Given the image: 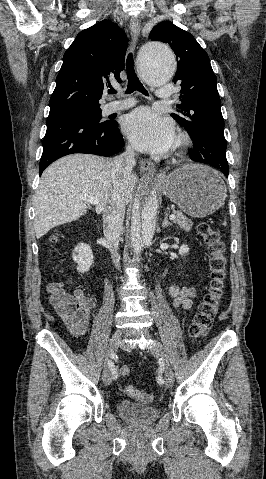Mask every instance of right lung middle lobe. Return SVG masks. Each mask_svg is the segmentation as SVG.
<instances>
[{"instance_id":"1","label":"right lung middle lobe","mask_w":266,"mask_h":479,"mask_svg":"<svg viewBox=\"0 0 266 479\" xmlns=\"http://www.w3.org/2000/svg\"><path fill=\"white\" fill-rule=\"evenodd\" d=\"M62 114H71L79 117H83L86 119H89L91 121H94L96 123H101V108L96 107V108H75V109H70L62 112H58Z\"/></svg>"}]
</instances>
